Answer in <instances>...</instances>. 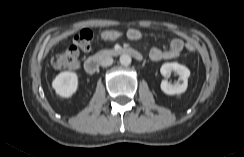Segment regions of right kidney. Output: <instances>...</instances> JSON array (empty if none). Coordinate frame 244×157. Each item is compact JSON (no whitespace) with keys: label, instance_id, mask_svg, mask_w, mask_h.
Wrapping results in <instances>:
<instances>
[{"label":"right kidney","instance_id":"1","mask_svg":"<svg viewBox=\"0 0 244 157\" xmlns=\"http://www.w3.org/2000/svg\"><path fill=\"white\" fill-rule=\"evenodd\" d=\"M52 87L60 97H72L78 88V76L74 72H61L52 82Z\"/></svg>","mask_w":244,"mask_h":157}]
</instances>
